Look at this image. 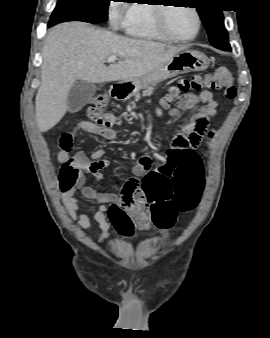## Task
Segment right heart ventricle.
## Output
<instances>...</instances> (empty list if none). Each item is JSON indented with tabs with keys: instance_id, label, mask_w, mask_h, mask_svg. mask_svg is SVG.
<instances>
[{
	"instance_id": "e07e8e85",
	"label": "right heart ventricle",
	"mask_w": 270,
	"mask_h": 338,
	"mask_svg": "<svg viewBox=\"0 0 270 338\" xmlns=\"http://www.w3.org/2000/svg\"><path fill=\"white\" fill-rule=\"evenodd\" d=\"M122 28L128 35L136 38L152 41L168 40L155 26L154 5H132L129 9L128 21Z\"/></svg>"
}]
</instances>
